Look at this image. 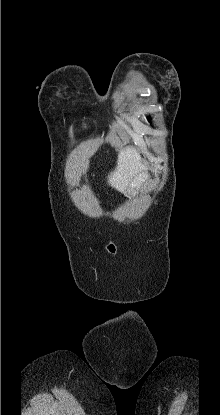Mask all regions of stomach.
<instances>
[{
    "label": "stomach",
    "mask_w": 220,
    "mask_h": 415,
    "mask_svg": "<svg viewBox=\"0 0 220 415\" xmlns=\"http://www.w3.org/2000/svg\"><path fill=\"white\" fill-rule=\"evenodd\" d=\"M148 180V174L140 172L134 179V181L126 188V193H134L139 191L143 184Z\"/></svg>",
    "instance_id": "1"
}]
</instances>
